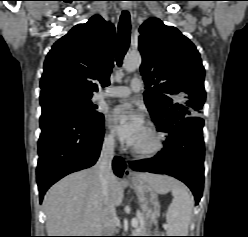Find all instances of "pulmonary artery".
<instances>
[{
	"instance_id": "1",
	"label": "pulmonary artery",
	"mask_w": 248,
	"mask_h": 237,
	"mask_svg": "<svg viewBox=\"0 0 248 237\" xmlns=\"http://www.w3.org/2000/svg\"><path fill=\"white\" fill-rule=\"evenodd\" d=\"M142 80L139 78H134L131 81L130 86H118L106 90L100 95V98L107 97H117V98H126L130 96L133 92H139L142 89Z\"/></svg>"
}]
</instances>
